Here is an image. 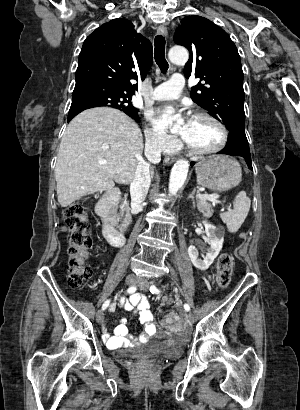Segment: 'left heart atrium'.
I'll list each match as a JSON object with an SVG mask.
<instances>
[{"label": "left heart atrium", "mask_w": 300, "mask_h": 410, "mask_svg": "<svg viewBox=\"0 0 300 410\" xmlns=\"http://www.w3.org/2000/svg\"><path fill=\"white\" fill-rule=\"evenodd\" d=\"M178 111V109L174 106H166L162 109H159L157 112V115L154 119L155 124L159 127V128H166L170 122H171V118L174 116V114ZM193 119L186 117V121L184 124V129L185 132L182 134V137L184 139L185 133L187 131V129L189 128V126L191 125Z\"/></svg>", "instance_id": "left-heart-atrium-1"}]
</instances>
